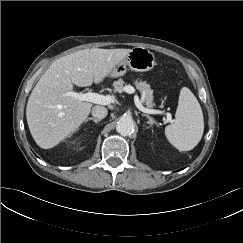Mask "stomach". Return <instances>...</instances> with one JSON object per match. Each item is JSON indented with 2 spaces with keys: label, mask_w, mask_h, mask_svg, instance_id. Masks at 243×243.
I'll use <instances>...</instances> for the list:
<instances>
[{
  "label": "stomach",
  "mask_w": 243,
  "mask_h": 243,
  "mask_svg": "<svg viewBox=\"0 0 243 243\" xmlns=\"http://www.w3.org/2000/svg\"><path fill=\"white\" fill-rule=\"evenodd\" d=\"M155 63V56L150 50L144 47H135L111 70L109 75L113 78L123 76L127 68L136 72L149 71Z\"/></svg>",
  "instance_id": "0dacf381"
}]
</instances>
